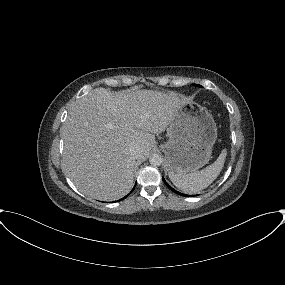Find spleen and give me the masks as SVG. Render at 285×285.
<instances>
[{
    "instance_id": "1",
    "label": "spleen",
    "mask_w": 285,
    "mask_h": 285,
    "mask_svg": "<svg viewBox=\"0 0 285 285\" xmlns=\"http://www.w3.org/2000/svg\"><path fill=\"white\" fill-rule=\"evenodd\" d=\"M227 151L224 149L217 160L201 171L188 174L169 172L172 183L181 191L196 194L207 188L220 174L226 159Z\"/></svg>"
}]
</instances>
